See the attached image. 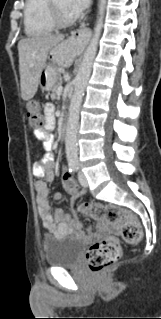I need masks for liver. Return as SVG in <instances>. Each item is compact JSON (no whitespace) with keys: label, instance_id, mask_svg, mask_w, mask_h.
<instances>
[{"label":"liver","instance_id":"obj_1","mask_svg":"<svg viewBox=\"0 0 161 319\" xmlns=\"http://www.w3.org/2000/svg\"><path fill=\"white\" fill-rule=\"evenodd\" d=\"M64 35H41L21 39L18 43L21 97L28 101L34 97L39 85V76L46 65L50 50L63 41ZM75 51V50H74ZM71 54L70 63L74 57Z\"/></svg>","mask_w":161,"mask_h":319}]
</instances>
